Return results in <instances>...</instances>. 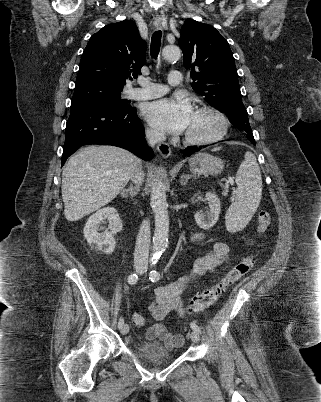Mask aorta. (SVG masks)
I'll return each mask as SVG.
<instances>
[{"instance_id": "762f6f07", "label": "aorta", "mask_w": 321, "mask_h": 402, "mask_svg": "<svg viewBox=\"0 0 321 402\" xmlns=\"http://www.w3.org/2000/svg\"><path fill=\"white\" fill-rule=\"evenodd\" d=\"M166 61H176L181 57V50L177 46H166L162 51ZM151 207L155 219L153 236L152 261L160 258L168 246L169 216L167 211L166 188L161 177H157L151 189Z\"/></svg>"}]
</instances>
